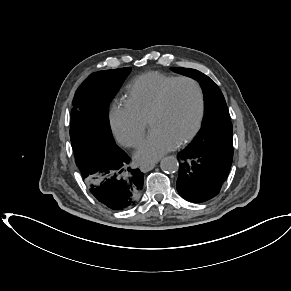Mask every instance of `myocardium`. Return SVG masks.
Returning <instances> with one entry per match:
<instances>
[{
    "label": "myocardium",
    "instance_id": "1",
    "mask_svg": "<svg viewBox=\"0 0 291 291\" xmlns=\"http://www.w3.org/2000/svg\"><path fill=\"white\" fill-rule=\"evenodd\" d=\"M180 82H188L195 87L197 91V95H198V100H199V110H198V117H197L195 126L186 136H184L177 142L178 146H182L190 142L198 134L203 124L204 115H205V96H204L203 89L198 81L188 76L176 77L171 83H169L163 89L159 97V100L156 106L154 107V109L152 110L149 116V120H148L149 125H151V122L166 109L167 104H168V98L172 89Z\"/></svg>",
    "mask_w": 291,
    "mask_h": 291
}]
</instances>
